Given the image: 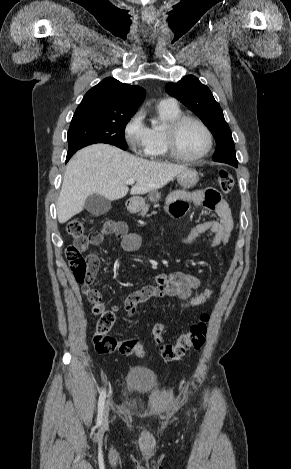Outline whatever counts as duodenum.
<instances>
[{
	"mask_svg": "<svg viewBox=\"0 0 291 469\" xmlns=\"http://www.w3.org/2000/svg\"><path fill=\"white\" fill-rule=\"evenodd\" d=\"M134 207H135L134 202H133V201H129V202H128V208H129L130 210H132V209H134Z\"/></svg>",
	"mask_w": 291,
	"mask_h": 469,
	"instance_id": "410a0bca",
	"label": "duodenum"
}]
</instances>
